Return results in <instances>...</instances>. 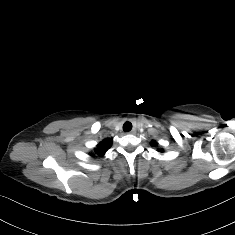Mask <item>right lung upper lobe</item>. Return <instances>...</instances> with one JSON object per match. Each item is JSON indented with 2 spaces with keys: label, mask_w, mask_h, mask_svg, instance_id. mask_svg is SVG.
I'll return each mask as SVG.
<instances>
[{
  "label": "right lung upper lobe",
  "mask_w": 235,
  "mask_h": 235,
  "mask_svg": "<svg viewBox=\"0 0 235 235\" xmlns=\"http://www.w3.org/2000/svg\"><path fill=\"white\" fill-rule=\"evenodd\" d=\"M112 145V140L110 138L104 139L102 142L99 143L97 148L94 149V153H91V156H103L108 148Z\"/></svg>",
  "instance_id": "obj_1"
}]
</instances>
